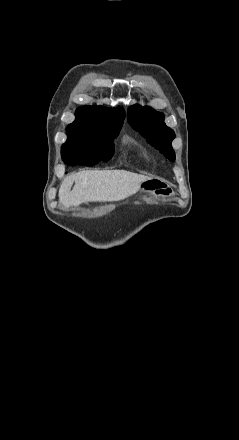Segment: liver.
<instances>
[{"label":"liver","instance_id":"obj_1","mask_svg":"<svg viewBox=\"0 0 239 440\" xmlns=\"http://www.w3.org/2000/svg\"><path fill=\"white\" fill-rule=\"evenodd\" d=\"M147 180L151 178L126 170H84L64 178L59 202L67 208L86 202H119L136 194ZM73 182L75 186L71 192Z\"/></svg>","mask_w":239,"mask_h":440}]
</instances>
